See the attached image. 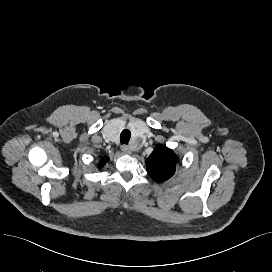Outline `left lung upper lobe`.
Instances as JSON below:
<instances>
[{
    "mask_svg": "<svg viewBox=\"0 0 272 272\" xmlns=\"http://www.w3.org/2000/svg\"><path fill=\"white\" fill-rule=\"evenodd\" d=\"M176 163L177 157L174 152L163 145H156L146 159L148 174L159 183L168 180L175 173Z\"/></svg>",
    "mask_w": 272,
    "mask_h": 272,
    "instance_id": "1",
    "label": "left lung upper lobe"
}]
</instances>
